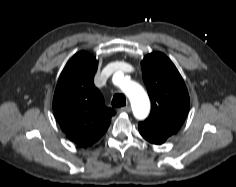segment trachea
I'll use <instances>...</instances> for the list:
<instances>
[{
	"mask_svg": "<svg viewBox=\"0 0 236 187\" xmlns=\"http://www.w3.org/2000/svg\"><path fill=\"white\" fill-rule=\"evenodd\" d=\"M113 107H122L126 105V98L123 94L117 93L113 96L112 102Z\"/></svg>",
	"mask_w": 236,
	"mask_h": 187,
	"instance_id": "3493384b",
	"label": "trachea"
}]
</instances>
